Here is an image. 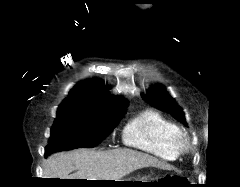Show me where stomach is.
<instances>
[{
	"instance_id": "0dacf381",
	"label": "stomach",
	"mask_w": 240,
	"mask_h": 187,
	"mask_svg": "<svg viewBox=\"0 0 240 187\" xmlns=\"http://www.w3.org/2000/svg\"><path fill=\"white\" fill-rule=\"evenodd\" d=\"M116 181H132V182H114L113 186L117 187H148L151 186L148 183H141V182H154V181H147V178H141L140 180H131V179H126V180H116ZM137 182V183H135Z\"/></svg>"
}]
</instances>
